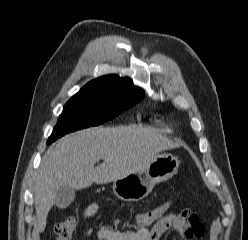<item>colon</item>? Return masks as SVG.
<instances>
[{"label":"colon","instance_id":"5ec220e1","mask_svg":"<svg viewBox=\"0 0 248 240\" xmlns=\"http://www.w3.org/2000/svg\"><path fill=\"white\" fill-rule=\"evenodd\" d=\"M172 207V201H166L153 208L145 210L131 218V227L137 230L143 227L151 226L162 217L166 216ZM78 226V220L73 217H67L57 223L54 228L55 240H72Z\"/></svg>","mask_w":248,"mask_h":240}]
</instances>
